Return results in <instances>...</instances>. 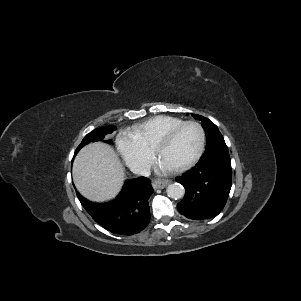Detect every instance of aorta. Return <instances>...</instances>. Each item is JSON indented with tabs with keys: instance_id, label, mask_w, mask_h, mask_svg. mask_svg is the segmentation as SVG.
Listing matches in <instances>:
<instances>
[{
	"instance_id": "762f6f07",
	"label": "aorta",
	"mask_w": 301,
	"mask_h": 301,
	"mask_svg": "<svg viewBox=\"0 0 301 301\" xmlns=\"http://www.w3.org/2000/svg\"><path fill=\"white\" fill-rule=\"evenodd\" d=\"M167 194L173 199H180L184 196L185 190L181 184L173 183L167 187Z\"/></svg>"
}]
</instances>
